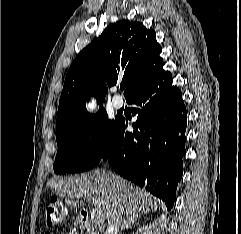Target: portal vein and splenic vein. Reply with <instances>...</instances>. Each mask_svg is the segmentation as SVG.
Wrapping results in <instances>:
<instances>
[{
  "mask_svg": "<svg viewBox=\"0 0 241 234\" xmlns=\"http://www.w3.org/2000/svg\"><path fill=\"white\" fill-rule=\"evenodd\" d=\"M91 204L94 205L96 209H99L101 207V205L98 202H96V201L91 202ZM103 221H104V219H103L102 214L101 213H97L95 215V222H96V224L100 225V224L103 223Z\"/></svg>",
  "mask_w": 241,
  "mask_h": 234,
  "instance_id": "obj_1",
  "label": "portal vein and splenic vein"
}]
</instances>
